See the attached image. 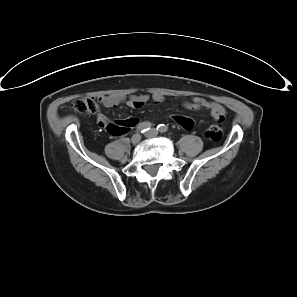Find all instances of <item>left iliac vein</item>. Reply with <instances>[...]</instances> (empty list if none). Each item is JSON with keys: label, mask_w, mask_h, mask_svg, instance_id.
<instances>
[{"label": "left iliac vein", "mask_w": 297, "mask_h": 297, "mask_svg": "<svg viewBox=\"0 0 297 297\" xmlns=\"http://www.w3.org/2000/svg\"><path fill=\"white\" fill-rule=\"evenodd\" d=\"M156 135H157V132L154 129H151L150 131L145 133V136L148 138L155 137Z\"/></svg>", "instance_id": "4c4485c4"}]
</instances>
